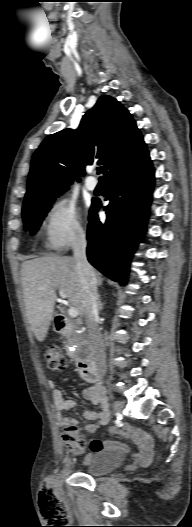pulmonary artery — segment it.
<instances>
[{
    "label": "pulmonary artery",
    "instance_id": "obj_1",
    "mask_svg": "<svg viewBox=\"0 0 192 527\" xmlns=\"http://www.w3.org/2000/svg\"><path fill=\"white\" fill-rule=\"evenodd\" d=\"M85 186L89 191H94L97 187V182L92 176H89L85 180Z\"/></svg>",
    "mask_w": 192,
    "mask_h": 527
}]
</instances>
